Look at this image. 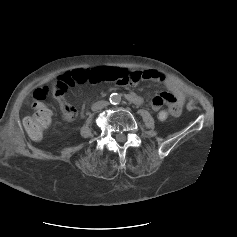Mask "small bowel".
<instances>
[{"label": "small bowel", "mask_w": 237, "mask_h": 237, "mask_svg": "<svg viewBox=\"0 0 237 237\" xmlns=\"http://www.w3.org/2000/svg\"><path fill=\"white\" fill-rule=\"evenodd\" d=\"M130 73L133 74L136 80H151L156 83H162L166 86L167 91L158 93L151 101V107L154 111H159L161 107L166 104L168 109L172 111L173 116H179L181 114L185 98L172 80L165 78L163 74L154 70H136ZM56 97L62 108H64V105L66 104L64 97ZM128 99L132 102L139 101V97L134 93H129ZM64 117L66 120H72L75 115L70 116L64 112Z\"/></svg>", "instance_id": "c3829d8e"}]
</instances>
